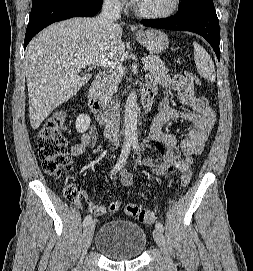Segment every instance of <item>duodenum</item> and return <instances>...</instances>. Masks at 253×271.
I'll return each mask as SVG.
<instances>
[{"label": "duodenum", "mask_w": 253, "mask_h": 271, "mask_svg": "<svg viewBox=\"0 0 253 271\" xmlns=\"http://www.w3.org/2000/svg\"><path fill=\"white\" fill-rule=\"evenodd\" d=\"M105 78L104 72H99L92 81L88 89V104L89 107L98 120L102 124H108L111 121V113L107 104H105L100 97V85ZM153 94L145 91L141 97V108L144 112L151 110L153 105Z\"/></svg>", "instance_id": "obj_1"}]
</instances>
